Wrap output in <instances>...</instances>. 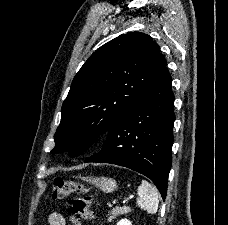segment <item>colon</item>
<instances>
[{
    "label": "colon",
    "instance_id": "colon-1",
    "mask_svg": "<svg viewBox=\"0 0 228 225\" xmlns=\"http://www.w3.org/2000/svg\"><path fill=\"white\" fill-rule=\"evenodd\" d=\"M89 193L91 188L83 183L59 177L53 179L52 200L71 198L68 203L70 214H76V217L86 221L96 222L97 218L91 208Z\"/></svg>",
    "mask_w": 228,
    "mask_h": 225
}]
</instances>
